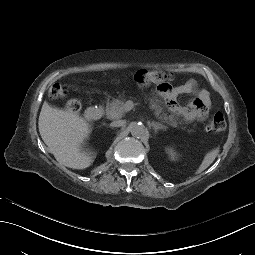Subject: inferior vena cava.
<instances>
[{
	"instance_id": "inferior-vena-cava-1",
	"label": "inferior vena cava",
	"mask_w": 255,
	"mask_h": 255,
	"mask_svg": "<svg viewBox=\"0 0 255 255\" xmlns=\"http://www.w3.org/2000/svg\"><path fill=\"white\" fill-rule=\"evenodd\" d=\"M124 125V121L123 120H116V121H113L110 126L111 127H120V126H123Z\"/></svg>"
}]
</instances>
